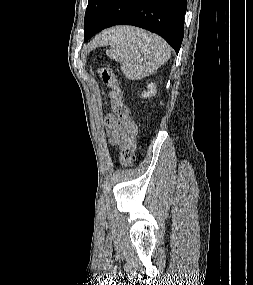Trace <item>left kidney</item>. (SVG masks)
<instances>
[{
  "label": "left kidney",
  "instance_id": "5707ae66",
  "mask_svg": "<svg viewBox=\"0 0 253 285\" xmlns=\"http://www.w3.org/2000/svg\"><path fill=\"white\" fill-rule=\"evenodd\" d=\"M147 88H148V91H147V92L144 91V92L142 93V95H141L142 98H150V97H152V96H155V94L157 93L155 83H150V84H148Z\"/></svg>",
  "mask_w": 253,
  "mask_h": 285
}]
</instances>
